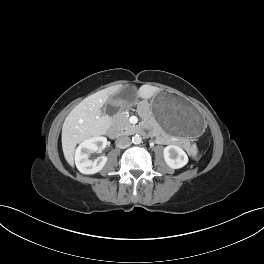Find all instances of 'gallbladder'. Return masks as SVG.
Listing matches in <instances>:
<instances>
[{
    "label": "gallbladder",
    "instance_id": "1",
    "mask_svg": "<svg viewBox=\"0 0 264 264\" xmlns=\"http://www.w3.org/2000/svg\"><path fill=\"white\" fill-rule=\"evenodd\" d=\"M101 112H102V114H105V111H104V109H101Z\"/></svg>",
    "mask_w": 264,
    "mask_h": 264
}]
</instances>
